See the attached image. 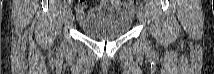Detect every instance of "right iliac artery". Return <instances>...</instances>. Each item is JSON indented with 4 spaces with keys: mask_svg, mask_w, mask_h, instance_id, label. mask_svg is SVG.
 I'll return each mask as SVG.
<instances>
[{
    "mask_svg": "<svg viewBox=\"0 0 214 74\" xmlns=\"http://www.w3.org/2000/svg\"><path fill=\"white\" fill-rule=\"evenodd\" d=\"M66 11H67V13H68V12L70 11V9H67Z\"/></svg>",
    "mask_w": 214,
    "mask_h": 74,
    "instance_id": "right-iliac-artery-1",
    "label": "right iliac artery"
}]
</instances>
